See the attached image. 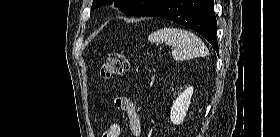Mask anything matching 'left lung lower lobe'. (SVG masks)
Masks as SVG:
<instances>
[{
	"label": "left lung lower lobe",
	"mask_w": 280,
	"mask_h": 137,
	"mask_svg": "<svg viewBox=\"0 0 280 137\" xmlns=\"http://www.w3.org/2000/svg\"><path fill=\"white\" fill-rule=\"evenodd\" d=\"M213 0H161L144 17H161L187 26L205 37L218 52Z\"/></svg>",
	"instance_id": "0a47b994"
}]
</instances>
